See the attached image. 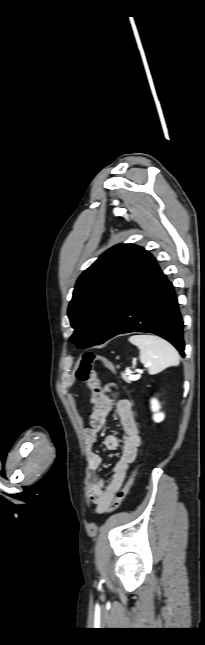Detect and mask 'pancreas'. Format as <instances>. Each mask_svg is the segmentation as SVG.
Wrapping results in <instances>:
<instances>
[{
	"label": "pancreas",
	"instance_id": "cf45deb5",
	"mask_svg": "<svg viewBox=\"0 0 205 645\" xmlns=\"http://www.w3.org/2000/svg\"><path fill=\"white\" fill-rule=\"evenodd\" d=\"M121 377H122V379H123L125 382H127V383H130V382L132 381L131 377H130V376H128V375H127V373H125V372H122V373H121Z\"/></svg>",
	"mask_w": 205,
	"mask_h": 645
}]
</instances>
